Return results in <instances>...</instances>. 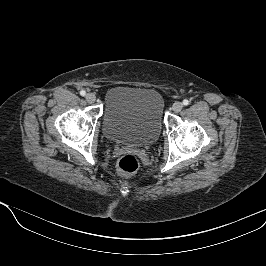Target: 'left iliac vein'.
<instances>
[{"instance_id":"left-iliac-vein-1","label":"left iliac vein","mask_w":266,"mask_h":266,"mask_svg":"<svg viewBox=\"0 0 266 266\" xmlns=\"http://www.w3.org/2000/svg\"><path fill=\"white\" fill-rule=\"evenodd\" d=\"M183 108V104L179 101L175 102L172 106V110L176 113L180 112Z\"/></svg>"}]
</instances>
